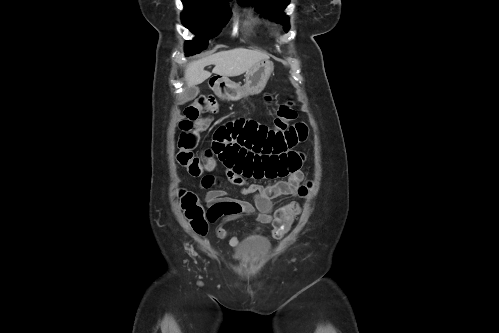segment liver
<instances>
[{
    "label": "liver",
    "mask_w": 499,
    "mask_h": 333,
    "mask_svg": "<svg viewBox=\"0 0 499 333\" xmlns=\"http://www.w3.org/2000/svg\"><path fill=\"white\" fill-rule=\"evenodd\" d=\"M269 60V56L258 50L236 48L221 51L208 57L193 61L187 65L185 79L188 87L201 84L211 76L204 70L208 65H215L212 73L223 77H235L249 71L256 63Z\"/></svg>",
    "instance_id": "1"
}]
</instances>
